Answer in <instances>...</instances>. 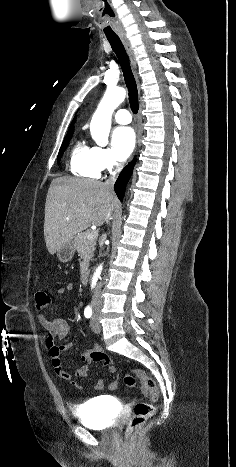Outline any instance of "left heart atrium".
<instances>
[{"mask_svg": "<svg viewBox=\"0 0 236 467\" xmlns=\"http://www.w3.org/2000/svg\"><path fill=\"white\" fill-rule=\"evenodd\" d=\"M135 146V134L131 127L120 126L112 133V148L117 160L124 161Z\"/></svg>", "mask_w": 236, "mask_h": 467, "instance_id": "1", "label": "left heart atrium"}]
</instances>
